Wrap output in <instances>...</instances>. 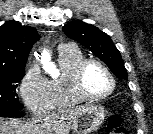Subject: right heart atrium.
<instances>
[{"label": "right heart atrium", "mask_w": 153, "mask_h": 134, "mask_svg": "<svg viewBox=\"0 0 153 134\" xmlns=\"http://www.w3.org/2000/svg\"><path fill=\"white\" fill-rule=\"evenodd\" d=\"M20 95L28 110L40 115L49 110L48 80L35 64L28 67L20 83Z\"/></svg>", "instance_id": "obj_1"}]
</instances>
